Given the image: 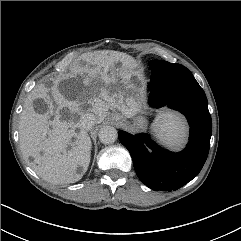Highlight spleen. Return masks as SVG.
<instances>
[{
    "instance_id": "spleen-1",
    "label": "spleen",
    "mask_w": 241,
    "mask_h": 241,
    "mask_svg": "<svg viewBox=\"0 0 241 241\" xmlns=\"http://www.w3.org/2000/svg\"><path fill=\"white\" fill-rule=\"evenodd\" d=\"M153 131L160 141L170 146H179L184 140L186 126L179 116L167 112L161 114L159 121L153 126Z\"/></svg>"
}]
</instances>
